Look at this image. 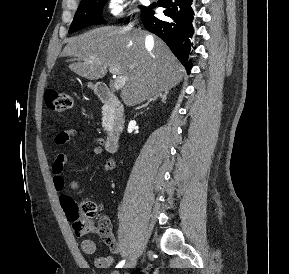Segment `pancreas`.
<instances>
[{"mask_svg":"<svg viewBox=\"0 0 289 274\" xmlns=\"http://www.w3.org/2000/svg\"><path fill=\"white\" fill-rule=\"evenodd\" d=\"M113 115H103L102 117V126L105 131H110L113 125Z\"/></svg>","mask_w":289,"mask_h":274,"instance_id":"1","label":"pancreas"}]
</instances>
